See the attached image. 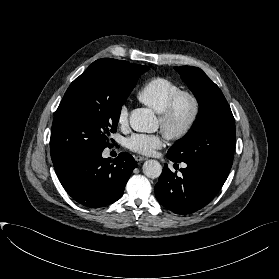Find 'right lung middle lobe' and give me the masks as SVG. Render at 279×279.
I'll return each mask as SVG.
<instances>
[{
	"label": "right lung middle lobe",
	"mask_w": 279,
	"mask_h": 279,
	"mask_svg": "<svg viewBox=\"0 0 279 279\" xmlns=\"http://www.w3.org/2000/svg\"><path fill=\"white\" fill-rule=\"evenodd\" d=\"M125 77L109 61L93 63L67 89L55 113L51 130V158L56 163L109 146L117 130L122 105L139 76Z\"/></svg>",
	"instance_id": "dd1d6c3e"
}]
</instances>
